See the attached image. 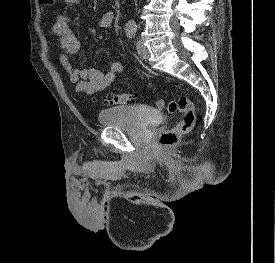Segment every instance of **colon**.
Segmentation results:
<instances>
[{
    "instance_id": "1",
    "label": "colon",
    "mask_w": 275,
    "mask_h": 263,
    "mask_svg": "<svg viewBox=\"0 0 275 263\" xmlns=\"http://www.w3.org/2000/svg\"><path fill=\"white\" fill-rule=\"evenodd\" d=\"M44 5H53L55 0H40ZM137 93L128 91L124 93H111L103 97V103L107 105H124L134 103ZM156 105L161 110H166L170 114L179 113L181 120L173 128L163 131L158 139L159 146L172 147L176 145L182 136L188 134L194 128L196 113L193 102L185 96L176 100L165 101L158 99Z\"/></svg>"
}]
</instances>
